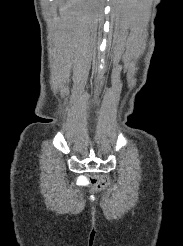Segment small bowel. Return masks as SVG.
<instances>
[{"mask_svg": "<svg viewBox=\"0 0 183 246\" xmlns=\"http://www.w3.org/2000/svg\"><path fill=\"white\" fill-rule=\"evenodd\" d=\"M80 178H81V179H84V178H85V175H84V174H81V175H80ZM86 183H87L86 180H79V181H78V184H79V185H86Z\"/></svg>", "mask_w": 183, "mask_h": 246, "instance_id": "1", "label": "small bowel"}]
</instances>
